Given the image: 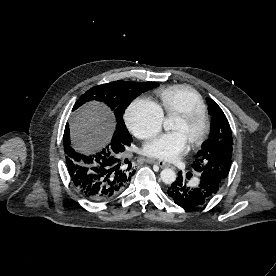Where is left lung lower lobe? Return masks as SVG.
<instances>
[{"label": "left lung lower lobe", "mask_w": 276, "mask_h": 276, "mask_svg": "<svg viewBox=\"0 0 276 276\" xmlns=\"http://www.w3.org/2000/svg\"><path fill=\"white\" fill-rule=\"evenodd\" d=\"M197 175V180L191 185L187 180L192 174L188 172L185 177L179 172L177 180L167 190L172 200L184 209L202 206L210 201L221 187L218 177L207 173L206 170Z\"/></svg>", "instance_id": "obj_1"}]
</instances>
